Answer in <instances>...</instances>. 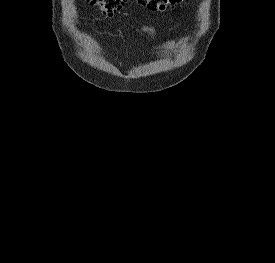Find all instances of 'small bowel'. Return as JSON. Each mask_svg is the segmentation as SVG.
Wrapping results in <instances>:
<instances>
[{"instance_id":"c3829d8e","label":"small bowel","mask_w":275,"mask_h":263,"mask_svg":"<svg viewBox=\"0 0 275 263\" xmlns=\"http://www.w3.org/2000/svg\"><path fill=\"white\" fill-rule=\"evenodd\" d=\"M144 30H145L146 32H148V33H152V32H153V28L150 27V26L145 27Z\"/></svg>"}]
</instances>
